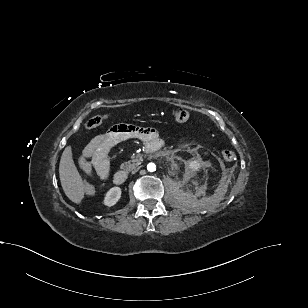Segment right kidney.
<instances>
[{"label":"right kidney","mask_w":308,"mask_h":308,"mask_svg":"<svg viewBox=\"0 0 308 308\" xmlns=\"http://www.w3.org/2000/svg\"><path fill=\"white\" fill-rule=\"evenodd\" d=\"M121 192L122 191L120 187L115 186L110 188L107 191L105 198L103 200L104 205L108 207L114 206L121 198Z\"/></svg>","instance_id":"obj_1"}]
</instances>
